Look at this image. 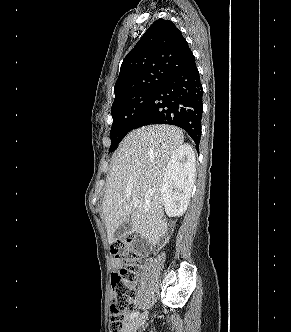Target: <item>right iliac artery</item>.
I'll return each mask as SVG.
<instances>
[{
  "label": "right iliac artery",
  "instance_id": "82829eb1",
  "mask_svg": "<svg viewBox=\"0 0 291 332\" xmlns=\"http://www.w3.org/2000/svg\"><path fill=\"white\" fill-rule=\"evenodd\" d=\"M139 315V312H134L130 315V319H133Z\"/></svg>",
  "mask_w": 291,
  "mask_h": 332
}]
</instances>
